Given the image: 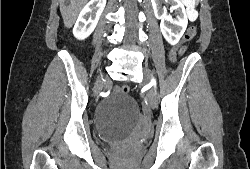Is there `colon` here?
Here are the masks:
<instances>
[{
	"mask_svg": "<svg viewBox=\"0 0 250 169\" xmlns=\"http://www.w3.org/2000/svg\"><path fill=\"white\" fill-rule=\"evenodd\" d=\"M196 33V26H193L192 24L188 26L187 32L183 35L181 41L177 44H173V48L170 51V54H167V59H170L173 62L176 61L177 57L180 54V51L183 49V46L185 43H187L191 38L195 37ZM121 90H123V93H128V90H130V85H121Z\"/></svg>",
	"mask_w": 250,
	"mask_h": 169,
	"instance_id": "1",
	"label": "colon"
}]
</instances>
